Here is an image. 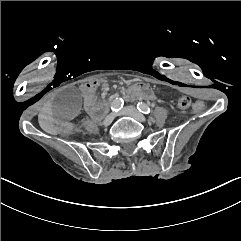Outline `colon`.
Returning a JSON list of instances; mask_svg holds the SVG:
<instances>
[{
	"instance_id": "colon-1",
	"label": "colon",
	"mask_w": 241,
	"mask_h": 241,
	"mask_svg": "<svg viewBox=\"0 0 241 241\" xmlns=\"http://www.w3.org/2000/svg\"><path fill=\"white\" fill-rule=\"evenodd\" d=\"M176 103H177V106L181 109H187L191 104L192 110H194V112H196V113H201L203 111L208 110V108H209L208 101L195 99L191 103L190 99L187 97L178 98Z\"/></svg>"
}]
</instances>
